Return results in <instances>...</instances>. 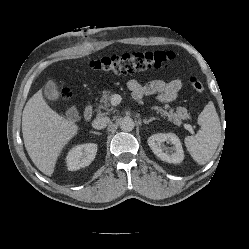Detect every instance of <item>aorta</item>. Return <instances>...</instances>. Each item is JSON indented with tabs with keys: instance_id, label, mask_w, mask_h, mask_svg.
<instances>
[{
	"instance_id": "aorta-1",
	"label": "aorta",
	"mask_w": 249,
	"mask_h": 249,
	"mask_svg": "<svg viewBox=\"0 0 249 249\" xmlns=\"http://www.w3.org/2000/svg\"><path fill=\"white\" fill-rule=\"evenodd\" d=\"M134 126H135L134 121L129 117L123 118L120 122V128L125 132L132 131L134 129Z\"/></svg>"
}]
</instances>
